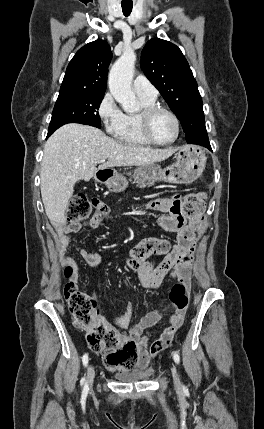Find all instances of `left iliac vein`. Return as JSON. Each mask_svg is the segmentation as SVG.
<instances>
[{
    "label": "left iliac vein",
    "instance_id": "obj_1",
    "mask_svg": "<svg viewBox=\"0 0 264 429\" xmlns=\"http://www.w3.org/2000/svg\"><path fill=\"white\" fill-rule=\"evenodd\" d=\"M172 375L175 385L180 384V376L175 366L172 367Z\"/></svg>",
    "mask_w": 264,
    "mask_h": 429
}]
</instances>
